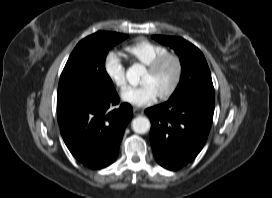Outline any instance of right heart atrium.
Listing matches in <instances>:
<instances>
[{"instance_id":"obj_1","label":"right heart atrium","mask_w":272,"mask_h":198,"mask_svg":"<svg viewBox=\"0 0 272 198\" xmlns=\"http://www.w3.org/2000/svg\"><path fill=\"white\" fill-rule=\"evenodd\" d=\"M103 68L109 80L119 89L126 85V69L118 52L110 51L103 61Z\"/></svg>"}]
</instances>
